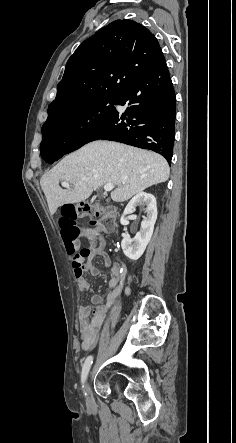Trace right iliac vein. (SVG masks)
Here are the masks:
<instances>
[{"label":"right iliac vein","instance_id":"obj_1","mask_svg":"<svg viewBox=\"0 0 236 443\" xmlns=\"http://www.w3.org/2000/svg\"><path fill=\"white\" fill-rule=\"evenodd\" d=\"M85 391H86V393H87L88 395H90V393H91V389H90V385H89L88 382L86 383Z\"/></svg>","mask_w":236,"mask_h":443}]
</instances>
